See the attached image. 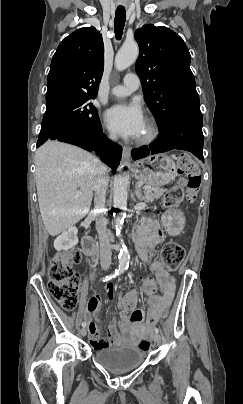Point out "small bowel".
I'll return each mask as SVG.
<instances>
[{"mask_svg": "<svg viewBox=\"0 0 243 404\" xmlns=\"http://www.w3.org/2000/svg\"><path fill=\"white\" fill-rule=\"evenodd\" d=\"M164 234L159 223L143 220L137 232L136 247L138 254L155 273L160 282L161 294L149 296L150 309L144 311L136 309L129 317H124L119 325L112 322L109 325L111 341L100 340L98 338L99 325L94 321H89V339L95 349H102L112 345L124 346L135 343L142 335L150 333L154 325L168 312L175 293L176 278L169 274L164 264L158 260H152L150 253L163 241ZM109 299L113 297V286L106 287ZM90 313L98 316L100 309V296L93 295L87 305Z\"/></svg>", "mask_w": 243, "mask_h": 404, "instance_id": "1", "label": "small bowel"}]
</instances>
